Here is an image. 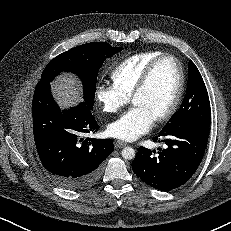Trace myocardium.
I'll use <instances>...</instances> for the list:
<instances>
[{
  "instance_id": "obj_1",
  "label": "myocardium",
  "mask_w": 231,
  "mask_h": 231,
  "mask_svg": "<svg viewBox=\"0 0 231 231\" xmlns=\"http://www.w3.org/2000/svg\"><path fill=\"white\" fill-rule=\"evenodd\" d=\"M164 59H172L176 63L178 67L179 81H178L177 90L175 92V95L173 97V100L170 106L161 115L155 118V121L157 122H162V121L169 119L175 113V111L177 110L180 104V101H181V98H182V95L185 89V70H184L182 62L176 56L172 54H169V53L160 54L147 65L135 89L133 90L131 94V102H132L134 98L137 95H139L147 86L155 66Z\"/></svg>"
}]
</instances>
